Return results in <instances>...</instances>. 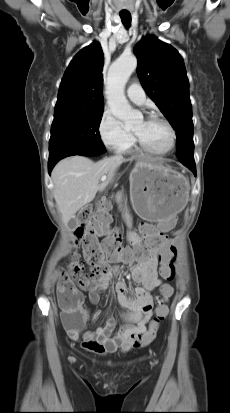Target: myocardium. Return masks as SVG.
I'll use <instances>...</instances> for the list:
<instances>
[{
	"label": "myocardium",
	"mask_w": 230,
	"mask_h": 413,
	"mask_svg": "<svg viewBox=\"0 0 230 413\" xmlns=\"http://www.w3.org/2000/svg\"><path fill=\"white\" fill-rule=\"evenodd\" d=\"M147 120H157V121L162 122L169 131V142L165 148L155 149V148L148 146L144 141L140 139V137L136 133H134L135 139L138 142L140 148L143 151L150 153V154H154V155H166L169 152H171L175 146V141H176V132H175L173 125L166 118L156 113L151 114L147 118Z\"/></svg>",
	"instance_id": "myocardium-1"
}]
</instances>
